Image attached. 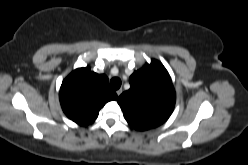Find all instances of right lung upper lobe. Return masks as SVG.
Listing matches in <instances>:
<instances>
[{
    "mask_svg": "<svg viewBox=\"0 0 248 165\" xmlns=\"http://www.w3.org/2000/svg\"><path fill=\"white\" fill-rule=\"evenodd\" d=\"M59 99L66 116L79 125L86 126L98 117L99 110L117 94L110 89L106 75L90 68L74 70L62 82Z\"/></svg>",
    "mask_w": 248,
    "mask_h": 165,
    "instance_id": "1",
    "label": "right lung upper lobe"
}]
</instances>
